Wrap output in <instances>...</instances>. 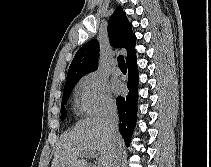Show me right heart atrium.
I'll return each mask as SVG.
<instances>
[{"label": "right heart atrium", "instance_id": "1", "mask_svg": "<svg viewBox=\"0 0 211 167\" xmlns=\"http://www.w3.org/2000/svg\"><path fill=\"white\" fill-rule=\"evenodd\" d=\"M78 109L92 116H99L110 112L114 101L108 92L105 80L96 72L84 75L77 87Z\"/></svg>", "mask_w": 211, "mask_h": 167}]
</instances>
